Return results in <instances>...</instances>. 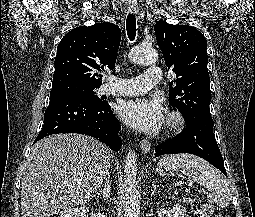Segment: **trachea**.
Returning <instances> with one entry per match:
<instances>
[{"label":"trachea","mask_w":255,"mask_h":217,"mask_svg":"<svg viewBox=\"0 0 255 217\" xmlns=\"http://www.w3.org/2000/svg\"><path fill=\"white\" fill-rule=\"evenodd\" d=\"M127 35L130 40H134L136 36V18L134 14H128L126 20Z\"/></svg>","instance_id":"trachea-1"}]
</instances>
